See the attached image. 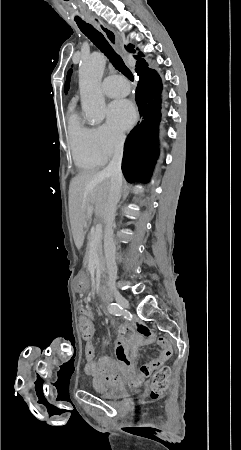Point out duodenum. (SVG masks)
I'll return each mask as SVG.
<instances>
[{
	"instance_id": "duodenum-1",
	"label": "duodenum",
	"mask_w": 241,
	"mask_h": 450,
	"mask_svg": "<svg viewBox=\"0 0 241 450\" xmlns=\"http://www.w3.org/2000/svg\"><path fill=\"white\" fill-rule=\"evenodd\" d=\"M97 290L102 297L107 298L109 296V290L105 285L99 284Z\"/></svg>"
}]
</instances>
